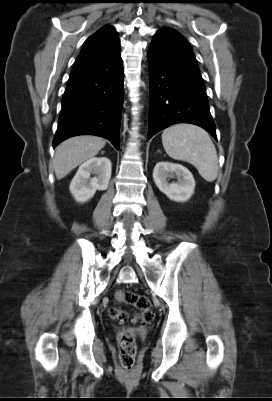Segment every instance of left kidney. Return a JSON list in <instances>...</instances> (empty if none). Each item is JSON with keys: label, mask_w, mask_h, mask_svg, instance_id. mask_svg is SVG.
Wrapping results in <instances>:
<instances>
[{"label": "left kidney", "mask_w": 272, "mask_h": 401, "mask_svg": "<svg viewBox=\"0 0 272 401\" xmlns=\"http://www.w3.org/2000/svg\"><path fill=\"white\" fill-rule=\"evenodd\" d=\"M177 176L176 183H168V178ZM153 180L158 189L175 202H186L194 194L195 180L192 173L180 164L159 162L153 170Z\"/></svg>", "instance_id": "left-kidney-1"}]
</instances>
